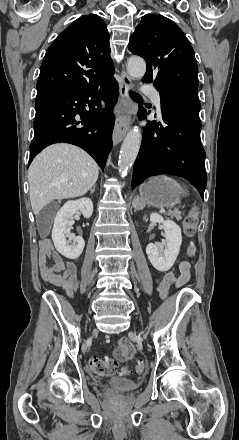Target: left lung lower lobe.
I'll return each mask as SVG.
<instances>
[{
  "instance_id": "1",
  "label": "left lung lower lobe",
  "mask_w": 239,
  "mask_h": 440,
  "mask_svg": "<svg viewBox=\"0 0 239 440\" xmlns=\"http://www.w3.org/2000/svg\"><path fill=\"white\" fill-rule=\"evenodd\" d=\"M162 123L149 121L143 130L141 147L134 164L132 187L140 180L172 174L192 182L204 199L207 184L205 151L200 140L201 122L198 89H159ZM147 112L139 108V119Z\"/></svg>"
}]
</instances>
